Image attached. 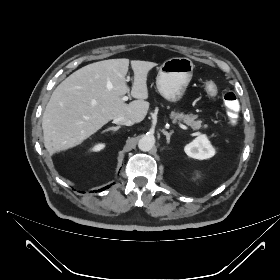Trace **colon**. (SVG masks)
Returning <instances> with one entry per match:
<instances>
[{
	"label": "colon",
	"mask_w": 280,
	"mask_h": 280,
	"mask_svg": "<svg viewBox=\"0 0 280 280\" xmlns=\"http://www.w3.org/2000/svg\"><path fill=\"white\" fill-rule=\"evenodd\" d=\"M204 90L211 97H214L218 92L217 85L213 81H206L204 83ZM221 96L229 116V125L233 128L238 127L241 123V117L239 115L242 108L241 103L237 101L236 94L230 89L222 90Z\"/></svg>",
	"instance_id": "obj_1"
}]
</instances>
